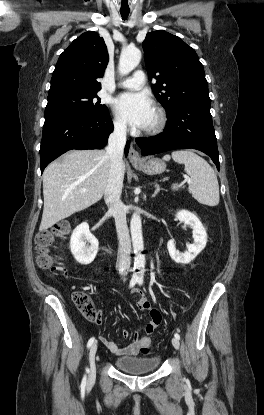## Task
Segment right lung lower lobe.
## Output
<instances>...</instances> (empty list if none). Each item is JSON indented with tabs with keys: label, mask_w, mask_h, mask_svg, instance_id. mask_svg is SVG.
<instances>
[{
	"label": "right lung lower lobe",
	"mask_w": 264,
	"mask_h": 415,
	"mask_svg": "<svg viewBox=\"0 0 264 415\" xmlns=\"http://www.w3.org/2000/svg\"><path fill=\"white\" fill-rule=\"evenodd\" d=\"M113 131L110 114L69 115L45 119L40 146V169L71 149H101ZM129 142L125 147L128 154Z\"/></svg>",
	"instance_id": "right-lung-lower-lobe-1"
}]
</instances>
